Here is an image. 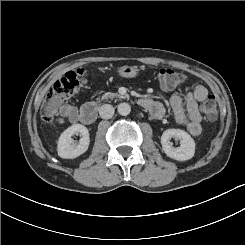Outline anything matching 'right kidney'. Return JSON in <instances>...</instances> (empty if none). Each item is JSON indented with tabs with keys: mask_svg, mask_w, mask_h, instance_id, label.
I'll list each match as a JSON object with an SVG mask.
<instances>
[{
	"mask_svg": "<svg viewBox=\"0 0 245 245\" xmlns=\"http://www.w3.org/2000/svg\"><path fill=\"white\" fill-rule=\"evenodd\" d=\"M77 134L81 136L80 143L74 144L72 135ZM89 132L88 129L82 124H74L69 126L60 135L57 152L58 156L62 159H74L84 154L89 148Z\"/></svg>",
	"mask_w": 245,
	"mask_h": 245,
	"instance_id": "right-kidney-1",
	"label": "right kidney"
}]
</instances>
